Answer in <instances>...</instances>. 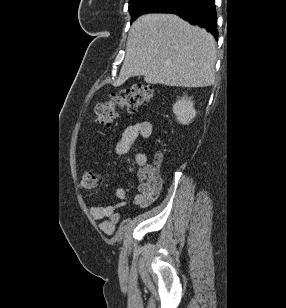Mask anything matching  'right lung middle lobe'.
<instances>
[{
  "label": "right lung middle lobe",
  "mask_w": 286,
  "mask_h": 308,
  "mask_svg": "<svg viewBox=\"0 0 286 308\" xmlns=\"http://www.w3.org/2000/svg\"><path fill=\"white\" fill-rule=\"evenodd\" d=\"M169 0H130L128 10L131 14V22L138 16L152 12Z\"/></svg>",
  "instance_id": "1"
}]
</instances>
